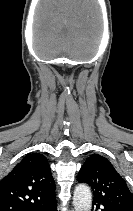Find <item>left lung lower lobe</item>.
Instances as JSON below:
<instances>
[{
  "label": "left lung lower lobe",
  "mask_w": 133,
  "mask_h": 211,
  "mask_svg": "<svg viewBox=\"0 0 133 211\" xmlns=\"http://www.w3.org/2000/svg\"><path fill=\"white\" fill-rule=\"evenodd\" d=\"M93 205H96L97 208H99V206H101V205L96 204V203H93ZM101 207H102V206H101ZM101 211H113V210H107V209H104V208L102 207Z\"/></svg>",
  "instance_id": "left-lung-lower-lobe-1"
}]
</instances>
